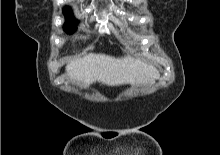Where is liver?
Returning a JSON list of instances; mask_svg holds the SVG:
<instances>
[{
	"instance_id": "1",
	"label": "liver",
	"mask_w": 220,
	"mask_h": 155,
	"mask_svg": "<svg viewBox=\"0 0 220 155\" xmlns=\"http://www.w3.org/2000/svg\"><path fill=\"white\" fill-rule=\"evenodd\" d=\"M66 72L71 81L85 86L95 82L108 86L152 84L159 77L153 65L141 60L92 53L71 60L66 66Z\"/></svg>"
}]
</instances>
